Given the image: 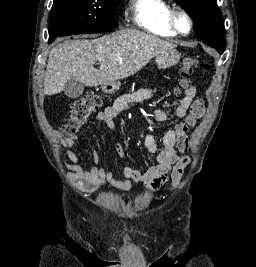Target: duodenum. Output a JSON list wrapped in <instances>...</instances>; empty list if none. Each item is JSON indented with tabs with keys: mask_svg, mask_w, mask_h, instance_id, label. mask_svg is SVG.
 Segmentation results:
<instances>
[{
	"mask_svg": "<svg viewBox=\"0 0 256 267\" xmlns=\"http://www.w3.org/2000/svg\"><path fill=\"white\" fill-rule=\"evenodd\" d=\"M122 88L121 81H117L116 78H107L103 85H100L102 94H115V90Z\"/></svg>",
	"mask_w": 256,
	"mask_h": 267,
	"instance_id": "obj_1",
	"label": "duodenum"
}]
</instances>
